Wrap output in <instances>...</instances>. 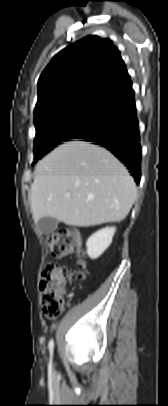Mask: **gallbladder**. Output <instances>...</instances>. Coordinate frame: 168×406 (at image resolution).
Segmentation results:
<instances>
[{
    "mask_svg": "<svg viewBox=\"0 0 168 406\" xmlns=\"http://www.w3.org/2000/svg\"><path fill=\"white\" fill-rule=\"evenodd\" d=\"M37 225L43 234H50L56 230L58 221L52 217H43L39 219Z\"/></svg>",
    "mask_w": 168,
    "mask_h": 406,
    "instance_id": "gallbladder-1",
    "label": "gallbladder"
}]
</instances>
